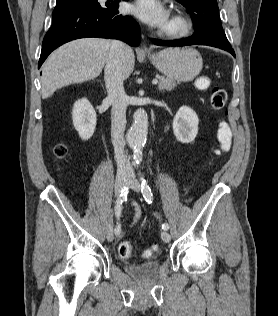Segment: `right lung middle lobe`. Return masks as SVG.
I'll use <instances>...</instances> for the list:
<instances>
[{
  "label": "right lung middle lobe",
  "instance_id": "right-lung-middle-lobe-1",
  "mask_svg": "<svg viewBox=\"0 0 278 316\" xmlns=\"http://www.w3.org/2000/svg\"><path fill=\"white\" fill-rule=\"evenodd\" d=\"M75 1H79V0H57L56 6H63V5H67L71 2H75Z\"/></svg>",
  "mask_w": 278,
  "mask_h": 316
}]
</instances>
